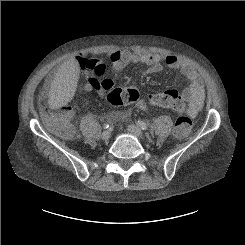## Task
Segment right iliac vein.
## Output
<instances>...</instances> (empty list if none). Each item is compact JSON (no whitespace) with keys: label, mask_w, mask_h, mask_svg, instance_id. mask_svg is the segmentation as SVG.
<instances>
[{"label":"right iliac vein","mask_w":245,"mask_h":245,"mask_svg":"<svg viewBox=\"0 0 245 245\" xmlns=\"http://www.w3.org/2000/svg\"><path fill=\"white\" fill-rule=\"evenodd\" d=\"M101 138H102L103 140H108V139H110V138H111V131L105 130L104 132H102Z\"/></svg>","instance_id":"obj_1"}]
</instances>
